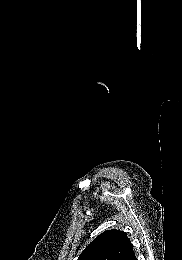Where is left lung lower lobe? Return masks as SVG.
I'll use <instances>...</instances> for the list:
<instances>
[{
    "label": "left lung lower lobe",
    "mask_w": 182,
    "mask_h": 260,
    "mask_svg": "<svg viewBox=\"0 0 182 260\" xmlns=\"http://www.w3.org/2000/svg\"><path fill=\"white\" fill-rule=\"evenodd\" d=\"M126 260H137L134 251L132 250L131 253L128 255V257L126 258Z\"/></svg>",
    "instance_id": "1"
}]
</instances>
